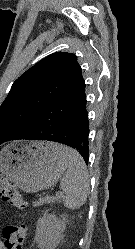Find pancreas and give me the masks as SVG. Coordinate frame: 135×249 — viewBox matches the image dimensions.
<instances>
[{
	"label": "pancreas",
	"mask_w": 135,
	"mask_h": 249,
	"mask_svg": "<svg viewBox=\"0 0 135 249\" xmlns=\"http://www.w3.org/2000/svg\"><path fill=\"white\" fill-rule=\"evenodd\" d=\"M54 201V198L47 196L44 198H40L39 201L34 202V206H41L43 204H49Z\"/></svg>",
	"instance_id": "pancreas-1"
}]
</instances>
